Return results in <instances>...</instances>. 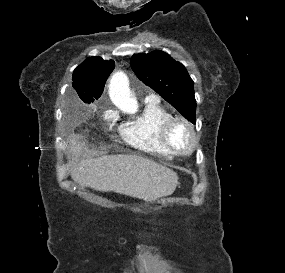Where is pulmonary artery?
<instances>
[{
  "label": "pulmonary artery",
  "mask_w": 285,
  "mask_h": 273,
  "mask_svg": "<svg viewBox=\"0 0 285 273\" xmlns=\"http://www.w3.org/2000/svg\"><path fill=\"white\" fill-rule=\"evenodd\" d=\"M153 100H157V97L155 95H149L146 98V101H153Z\"/></svg>",
  "instance_id": "pulmonary-artery-1"
}]
</instances>
